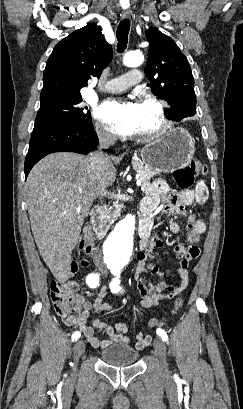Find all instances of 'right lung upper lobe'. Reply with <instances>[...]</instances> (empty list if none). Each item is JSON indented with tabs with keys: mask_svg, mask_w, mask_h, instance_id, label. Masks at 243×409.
<instances>
[{
	"mask_svg": "<svg viewBox=\"0 0 243 409\" xmlns=\"http://www.w3.org/2000/svg\"><path fill=\"white\" fill-rule=\"evenodd\" d=\"M112 47L95 23L74 31L53 49L43 73L40 100L80 94L92 77H99L111 62Z\"/></svg>",
	"mask_w": 243,
	"mask_h": 409,
	"instance_id": "cb5924a9",
	"label": "right lung upper lobe"
}]
</instances>
